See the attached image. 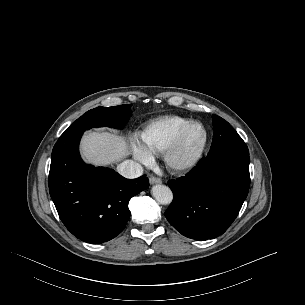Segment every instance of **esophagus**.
<instances>
[{
  "mask_svg": "<svg viewBox=\"0 0 305 305\" xmlns=\"http://www.w3.org/2000/svg\"><path fill=\"white\" fill-rule=\"evenodd\" d=\"M150 184H160L162 183L161 179L155 177V176H151L149 178Z\"/></svg>",
  "mask_w": 305,
  "mask_h": 305,
  "instance_id": "obj_1",
  "label": "esophagus"
}]
</instances>
